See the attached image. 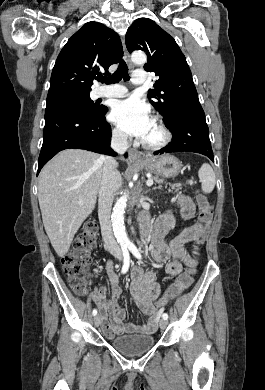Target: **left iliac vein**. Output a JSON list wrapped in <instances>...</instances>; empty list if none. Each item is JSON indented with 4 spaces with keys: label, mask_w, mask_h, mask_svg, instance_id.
Wrapping results in <instances>:
<instances>
[{
    "label": "left iliac vein",
    "mask_w": 265,
    "mask_h": 390,
    "mask_svg": "<svg viewBox=\"0 0 265 390\" xmlns=\"http://www.w3.org/2000/svg\"><path fill=\"white\" fill-rule=\"evenodd\" d=\"M159 325H160V328L165 329L168 325V322L165 319H161L159 322Z\"/></svg>",
    "instance_id": "left-iliac-vein-1"
}]
</instances>
